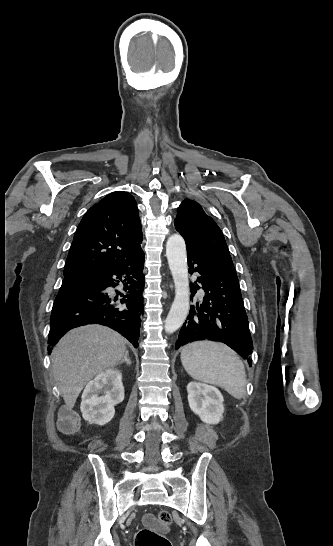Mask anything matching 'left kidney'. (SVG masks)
<instances>
[{"instance_id": "obj_1", "label": "left kidney", "mask_w": 333, "mask_h": 546, "mask_svg": "<svg viewBox=\"0 0 333 546\" xmlns=\"http://www.w3.org/2000/svg\"><path fill=\"white\" fill-rule=\"evenodd\" d=\"M191 410L207 424H218L223 418V396L220 391L206 384L190 382L187 386Z\"/></svg>"}]
</instances>
